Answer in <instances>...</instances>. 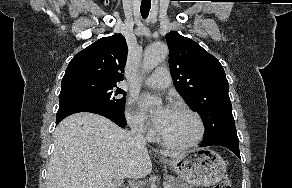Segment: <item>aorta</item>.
I'll return each instance as SVG.
<instances>
[{
	"mask_svg": "<svg viewBox=\"0 0 292 188\" xmlns=\"http://www.w3.org/2000/svg\"><path fill=\"white\" fill-rule=\"evenodd\" d=\"M168 55V46L157 42L151 44L144 52L143 68L150 71L157 67Z\"/></svg>",
	"mask_w": 292,
	"mask_h": 188,
	"instance_id": "762f6f07",
	"label": "aorta"
}]
</instances>
